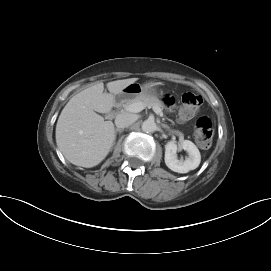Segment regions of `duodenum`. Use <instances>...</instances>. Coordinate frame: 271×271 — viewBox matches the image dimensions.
<instances>
[{
	"instance_id": "1",
	"label": "duodenum",
	"mask_w": 271,
	"mask_h": 271,
	"mask_svg": "<svg viewBox=\"0 0 271 271\" xmlns=\"http://www.w3.org/2000/svg\"><path fill=\"white\" fill-rule=\"evenodd\" d=\"M121 99H122V96H117L115 98V104L118 105L120 103Z\"/></svg>"
}]
</instances>
